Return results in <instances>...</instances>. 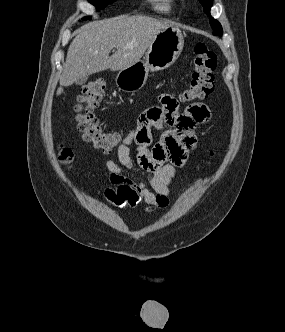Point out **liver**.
Segmentation results:
<instances>
[{"label":"liver","mask_w":285,"mask_h":332,"mask_svg":"<svg viewBox=\"0 0 285 332\" xmlns=\"http://www.w3.org/2000/svg\"><path fill=\"white\" fill-rule=\"evenodd\" d=\"M170 26L169 21L141 15H123L82 26L68 48L56 94L61 95L63 87L81 77L129 68L140 61L155 36ZM113 48L117 51L109 56Z\"/></svg>","instance_id":"obj_1"}]
</instances>
